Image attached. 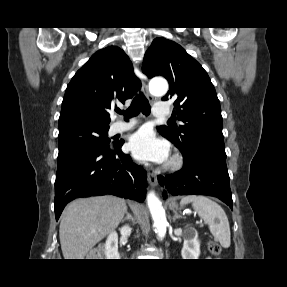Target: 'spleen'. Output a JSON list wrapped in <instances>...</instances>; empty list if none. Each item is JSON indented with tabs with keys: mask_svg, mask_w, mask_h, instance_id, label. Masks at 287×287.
I'll use <instances>...</instances> for the list:
<instances>
[{
	"mask_svg": "<svg viewBox=\"0 0 287 287\" xmlns=\"http://www.w3.org/2000/svg\"><path fill=\"white\" fill-rule=\"evenodd\" d=\"M181 205L192 203L194 210L209 225L210 232L222 247L231 244V233L228 218L222 207L208 197L187 195L181 199Z\"/></svg>",
	"mask_w": 287,
	"mask_h": 287,
	"instance_id": "spleen-1",
	"label": "spleen"
}]
</instances>
